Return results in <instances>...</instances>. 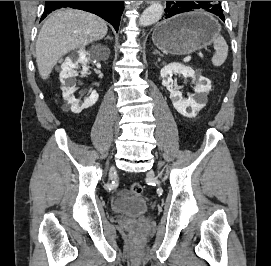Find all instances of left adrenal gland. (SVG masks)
<instances>
[{
    "mask_svg": "<svg viewBox=\"0 0 271 266\" xmlns=\"http://www.w3.org/2000/svg\"><path fill=\"white\" fill-rule=\"evenodd\" d=\"M153 54H159L160 56H163L158 50H155Z\"/></svg>",
    "mask_w": 271,
    "mask_h": 266,
    "instance_id": "obj_1",
    "label": "left adrenal gland"
}]
</instances>
